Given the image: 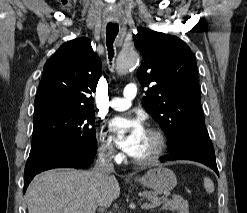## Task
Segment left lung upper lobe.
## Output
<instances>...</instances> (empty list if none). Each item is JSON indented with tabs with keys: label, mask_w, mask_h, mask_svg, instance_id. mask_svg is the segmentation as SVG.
Segmentation results:
<instances>
[{
	"label": "left lung upper lobe",
	"mask_w": 247,
	"mask_h": 213,
	"mask_svg": "<svg viewBox=\"0 0 247 213\" xmlns=\"http://www.w3.org/2000/svg\"><path fill=\"white\" fill-rule=\"evenodd\" d=\"M135 47L143 62L137 71L147 87L142 105L175 145L191 127H205L197 64L190 48L178 37L142 28Z\"/></svg>",
	"instance_id": "obj_1"
}]
</instances>
